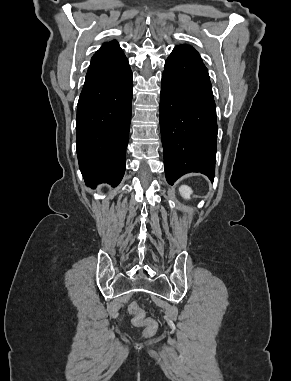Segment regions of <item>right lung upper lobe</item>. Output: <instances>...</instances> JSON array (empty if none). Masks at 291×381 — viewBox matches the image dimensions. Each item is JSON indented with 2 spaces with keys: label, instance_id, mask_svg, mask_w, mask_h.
Here are the masks:
<instances>
[{
  "label": "right lung upper lobe",
  "instance_id": "obj_1",
  "mask_svg": "<svg viewBox=\"0 0 291 381\" xmlns=\"http://www.w3.org/2000/svg\"><path fill=\"white\" fill-rule=\"evenodd\" d=\"M111 48H120L117 41L113 40V41L104 43L99 50L111 49Z\"/></svg>",
  "mask_w": 291,
  "mask_h": 381
}]
</instances>
